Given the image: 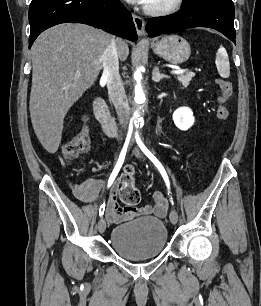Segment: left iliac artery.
<instances>
[{"label":"left iliac artery","mask_w":261,"mask_h":306,"mask_svg":"<svg viewBox=\"0 0 261 306\" xmlns=\"http://www.w3.org/2000/svg\"><path fill=\"white\" fill-rule=\"evenodd\" d=\"M136 141L140 149L144 152V154L155 164V166L158 168L160 173L162 174L167 186L169 187V180L168 176L166 174V171L164 167L161 165V163L157 160V158L145 147L141 139L138 135H136Z\"/></svg>","instance_id":"obj_1"}]
</instances>
